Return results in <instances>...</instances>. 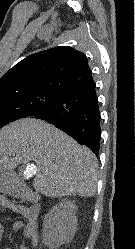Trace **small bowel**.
<instances>
[{
  "label": "small bowel",
  "instance_id": "c3829d8e",
  "mask_svg": "<svg viewBox=\"0 0 135 249\" xmlns=\"http://www.w3.org/2000/svg\"><path fill=\"white\" fill-rule=\"evenodd\" d=\"M0 208L12 210L24 217L25 220H18L14 223L15 231H22L26 238L31 241V247L22 246L20 249H34L38 242V209L34 206H25L12 202L7 196L0 195ZM5 228L0 222V244L6 245ZM5 249H10L7 245Z\"/></svg>",
  "mask_w": 135,
  "mask_h": 249
}]
</instances>
